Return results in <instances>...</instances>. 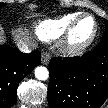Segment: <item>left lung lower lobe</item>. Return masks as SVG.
Segmentation results:
<instances>
[{"label":"left lung lower lobe","instance_id":"left-lung-lower-lobe-1","mask_svg":"<svg viewBox=\"0 0 108 108\" xmlns=\"http://www.w3.org/2000/svg\"><path fill=\"white\" fill-rule=\"evenodd\" d=\"M49 74L50 108H100L108 97V40L82 57H53Z\"/></svg>","mask_w":108,"mask_h":108}]
</instances>
